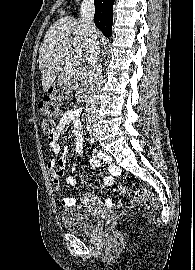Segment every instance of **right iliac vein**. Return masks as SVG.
I'll list each match as a JSON object with an SVG mask.
<instances>
[{"instance_id":"1","label":"right iliac vein","mask_w":195,"mask_h":270,"mask_svg":"<svg viewBox=\"0 0 195 270\" xmlns=\"http://www.w3.org/2000/svg\"><path fill=\"white\" fill-rule=\"evenodd\" d=\"M92 136H93L94 138H96V137H97V133L94 132V133L92 134Z\"/></svg>"}]
</instances>
